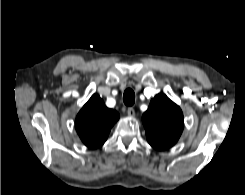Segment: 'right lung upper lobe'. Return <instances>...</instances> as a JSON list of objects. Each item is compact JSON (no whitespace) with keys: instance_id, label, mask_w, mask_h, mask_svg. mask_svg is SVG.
Here are the masks:
<instances>
[{"instance_id":"1","label":"right lung upper lobe","mask_w":245,"mask_h":195,"mask_svg":"<svg viewBox=\"0 0 245 195\" xmlns=\"http://www.w3.org/2000/svg\"><path fill=\"white\" fill-rule=\"evenodd\" d=\"M118 119L119 114L107 108L103 100L94 94L78 113L75 127L83 143L96 149L105 143Z\"/></svg>"}]
</instances>
